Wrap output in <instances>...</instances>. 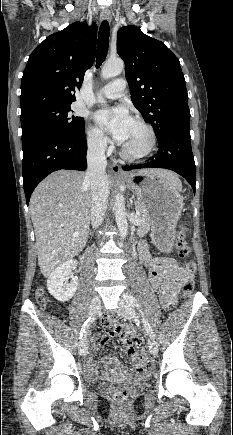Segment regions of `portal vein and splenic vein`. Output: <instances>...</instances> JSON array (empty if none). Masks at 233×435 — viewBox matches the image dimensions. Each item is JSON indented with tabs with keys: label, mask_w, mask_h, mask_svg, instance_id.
Segmentation results:
<instances>
[{
	"label": "portal vein and splenic vein",
	"mask_w": 233,
	"mask_h": 435,
	"mask_svg": "<svg viewBox=\"0 0 233 435\" xmlns=\"http://www.w3.org/2000/svg\"><path fill=\"white\" fill-rule=\"evenodd\" d=\"M139 214H140V212L137 210V211H136V215H135V217H137ZM78 235H79L78 232H75V233L73 234L74 237H77Z\"/></svg>",
	"instance_id": "portal-vein-and-splenic-vein-1"
}]
</instances>
